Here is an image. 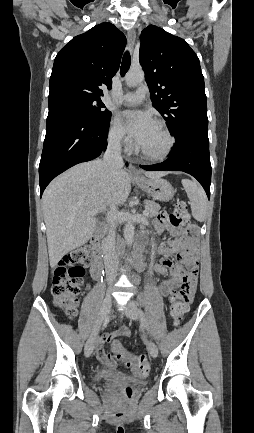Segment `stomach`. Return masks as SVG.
<instances>
[{"label":"stomach","mask_w":254,"mask_h":433,"mask_svg":"<svg viewBox=\"0 0 254 433\" xmlns=\"http://www.w3.org/2000/svg\"><path fill=\"white\" fill-rule=\"evenodd\" d=\"M136 184L149 194L154 200L169 201L175 191L172 185L161 178H140L135 179Z\"/></svg>","instance_id":"0dacf381"}]
</instances>
